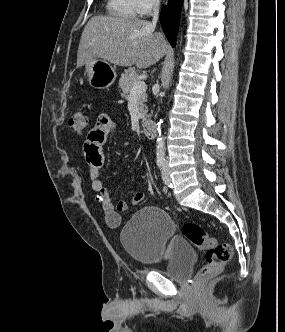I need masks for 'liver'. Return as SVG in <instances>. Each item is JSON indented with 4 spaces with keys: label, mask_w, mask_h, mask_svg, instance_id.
<instances>
[{
    "label": "liver",
    "mask_w": 285,
    "mask_h": 332,
    "mask_svg": "<svg viewBox=\"0 0 285 332\" xmlns=\"http://www.w3.org/2000/svg\"><path fill=\"white\" fill-rule=\"evenodd\" d=\"M147 20L94 16L85 26L77 52V67L97 58L118 65L147 68L166 51L161 33Z\"/></svg>",
    "instance_id": "6515ba94"
}]
</instances>
